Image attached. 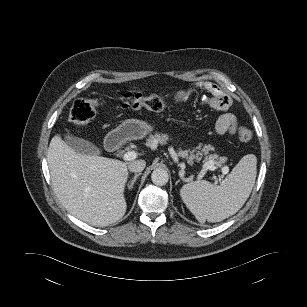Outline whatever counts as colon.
<instances>
[{
    "label": "colon",
    "mask_w": 307,
    "mask_h": 307,
    "mask_svg": "<svg viewBox=\"0 0 307 307\" xmlns=\"http://www.w3.org/2000/svg\"><path fill=\"white\" fill-rule=\"evenodd\" d=\"M104 101L98 97L82 98L76 100L69 113V122L74 126H80L90 122ZM122 106L127 109H147L160 112L167 108L165 100L155 94L145 95L142 93H127L123 96ZM237 136L242 142H249L253 138L252 131L246 126H240Z\"/></svg>",
    "instance_id": "5ec220e1"
}]
</instances>
